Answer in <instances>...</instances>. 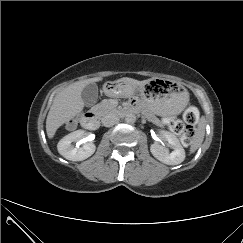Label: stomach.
Masks as SVG:
<instances>
[{
	"label": "stomach",
	"mask_w": 243,
	"mask_h": 243,
	"mask_svg": "<svg viewBox=\"0 0 243 243\" xmlns=\"http://www.w3.org/2000/svg\"><path fill=\"white\" fill-rule=\"evenodd\" d=\"M128 86L129 84L122 80L107 82L104 91L109 95L118 96ZM140 92L149 109L160 116L180 114L189 101L187 90L176 82L153 80L140 86Z\"/></svg>",
	"instance_id": "obj_1"
}]
</instances>
